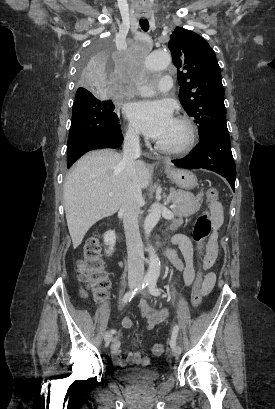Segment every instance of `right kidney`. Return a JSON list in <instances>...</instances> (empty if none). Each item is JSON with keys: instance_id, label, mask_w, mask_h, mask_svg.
<instances>
[{"instance_id": "1", "label": "right kidney", "mask_w": 275, "mask_h": 409, "mask_svg": "<svg viewBox=\"0 0 275 409\" xmlns=\"http://www.w3.org/2000/svg\"><path fill=\"white\" fill-rule=\"evenodd\" d=\"M104 243H106V245H109L108 251H106V253L107 257H110V255H112V253H114L115 251L114 247L116 243V235L114 231H106L104 235Z\"/></svg>"}]
</instances>
